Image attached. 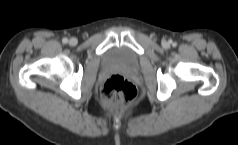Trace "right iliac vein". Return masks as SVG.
I'll return each instance as SVG.
<instances>
[{
    "label": "right iliac vein",
    "mask_w": 238,
    "mask_h": 145,
    "mask_svg": "<svg viewBox=\"0 0 238 145\" xmlns=\"http://www.w3.org/2000/svg\"><path fill=\"white\" fill-rule=\"evenodd\" d=\"M69 44H70L71 46H75V45L77 44V39H76V38H71V39L69 40Z\"/></svg>",
    "instance_id": "right-iliac-vein-1"
}]
</instances>
